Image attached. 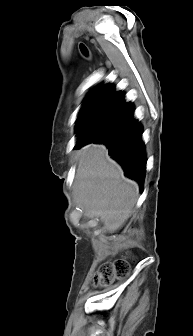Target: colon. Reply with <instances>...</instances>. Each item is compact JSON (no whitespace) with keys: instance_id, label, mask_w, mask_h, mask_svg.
<instances>
[{"instance_id":"1","label":"colon","mask_w":193,"mask_h":336,"mask_svg":"<svg viewBox=\"0 0 193 336\" xmlns=\"http://www.w3.org/2000/svg\"><path fill=\"white\" fill-rule=\"evenodd\" d=\"M130 262L128 257H121L112 262L104 263L93 277L95 287H107L128 275Z\"/></svg>"}]
</instances>
